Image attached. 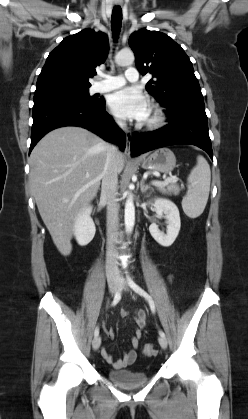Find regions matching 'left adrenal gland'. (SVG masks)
Wrapping results in <instances>:
<instances>
[{"mask_svg":"<svg viewBox=\"0 0 248 419\" xmlns=\"http://www.w3.org/2000/svg\"><path fill=\"white\" fill-rule=\"evenodd\" d=\"M148 189L153 190V188L150 185H145L144 180L142 179L140 182V190L142 193H145Z\"/></svg>","mask_w":248,"mask_h":419,"instance_id":"left-adrenal-gland-1","label":"left adrenal gland"}]
</instances>
